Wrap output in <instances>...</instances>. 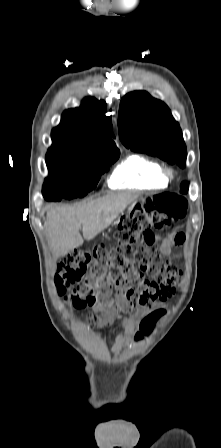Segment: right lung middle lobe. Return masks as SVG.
I'll use <instances>...</instances> for the list:
<instances>
[{
	"label": "right lung middle lobe",
	"instance_id": "dd1d6c3e",
	"mask_svg": "<svg viewBox=\"0 0 221 448\" xmlns=\"http://www.w3.org/2000/svg\"><path fill=\"white\" fill-rule=\"evenodd\" d=\"M120 153L101 157H84L70 152L53 150L46 154L49 177L42 194L47 201L84 197L94 189L101 174L109 170Z\"/></svg>",
	"mask_w": 221,
	"mask_h": 448
}]
</instances>
